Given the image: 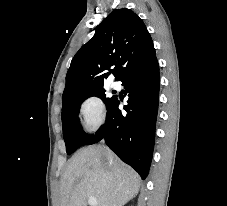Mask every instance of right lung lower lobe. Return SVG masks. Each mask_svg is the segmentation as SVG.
<instances>
[{"label":"right lung lower lobe","mask_w":227,"mask_h":206,"mask_svg":"<svg viewBox=\"0 0 227 206\" xmlns=\"http://www.w3.org/2000/svg\"><path fill=\"white\" fill-rule=\"evenodd\" d=\"M128 95L127 114L118 109L115 98L107 107V122L86 145L105 140L117 156L145 179L149 172L155 137L159 98L157 58L130 69L120 80Z\"/></svg>","instance_id":"obj_1"}]
</instances>
